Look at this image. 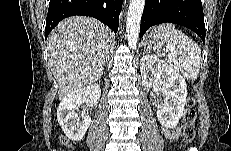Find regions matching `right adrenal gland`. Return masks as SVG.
Returning a JSON list of instances; mask_svg holds the SVG:
<instances>
[{
	"mask_svg": "<svg viewBox=\"0 0 231 151\" xmlns=\"http://www.w3.org/2000/svg\"><path fill=\"white\" fill-rule=\"evenodd\" d=\"M108 64H109V57H107V59H106L105 66H107Z\"/></svg>",
	"mask_w": 231,
	"mask_h": 151,
	"instance_id": "obj_1",
	"label": "right adrenal gland"
}]
</instances>
